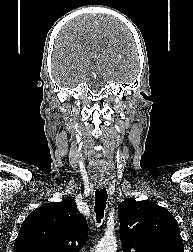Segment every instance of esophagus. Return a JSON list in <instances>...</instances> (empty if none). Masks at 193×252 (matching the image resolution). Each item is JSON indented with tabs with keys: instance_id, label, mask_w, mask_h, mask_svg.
Listing matches in <instances>:
<instances>
[{
	"instance_id": "34e87169",
	"label": "esophagus",
	"mask_w": 193,
	"mask_h": 252,
	"mask_svg": "<svg viewBox=\"0 0 193 252\" xmlns=\"http://www.w3.org/2000/svg\"><path fill=\"white\" fill-rule=\"evenodd\" d=\"M104 185L103 184H99V187L102 188Z\"/></svg>"
}]
</instances>
